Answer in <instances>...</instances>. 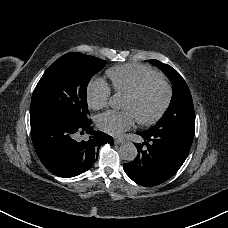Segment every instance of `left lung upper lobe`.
I'll list each match as a JSON object with an SVG mask.
<instances>
[{
  "instance_id": "1",
  "label": "left lung upper lobe",
  "mask_w": 228,
  "mask_h": 228,
  "mask_svg": "<svg viewBox=\"0 0 228 228\" xmlns=\"http://www.w3.org/2000/svg\"><path fill=\"white\" fill-rule=\"evenodd\" d=\"M150 63L161 67L173 86L170 105L162 118L150 129H161L171 132L195 133V113L190 90L181 75L169 65L158 60Z\"/></svg>"
}]
</instances>
